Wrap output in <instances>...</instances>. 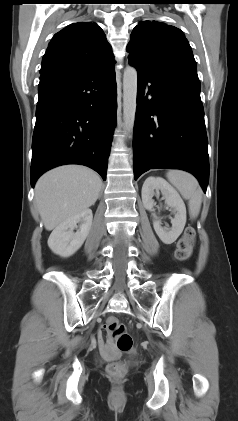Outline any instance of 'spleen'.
Returning <instances> with one entry per match:
<instances>
[{
    "label": "spleen",
    "instance_id": "obj_1",
    "mask_svg": "<svg viewBox=\"0 0 238 421\" xmlns=\"http://www.w3.org/2000/svg\"><path fill=\"white\" fill-rule=\"evenodd\" d=\"M167 179L188 200L190 216L196 218L202 204V190L196 178L181 170H170L167 172Z\"/></svg>",
    "mask_w": 238,
    "mask_h": 421
}]
</instances>
